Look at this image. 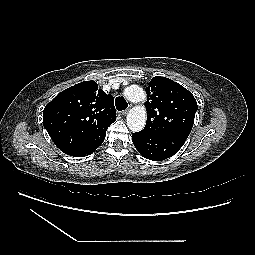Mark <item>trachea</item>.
Instances as JSON below:
<instances>
[{"mask_svg":"<svg viewBox=\"0 0 255 255\" xmlns=\"http://www.w3.org/2000/svg\"><path fill=\"white\" fill-rule=\"evenodd\" d=\"M115 106L117 110L122 111L128 107V103L123 97L119 96L115 99Z\"/></svg>","mask_w":255,"mask_h":255,"instance_id":"trachea-1","label":"trachea"}]
</instances>
